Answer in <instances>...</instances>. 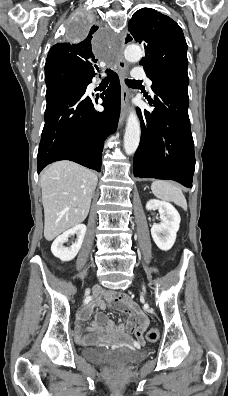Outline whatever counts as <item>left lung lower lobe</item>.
Listing matches in <instances>:
<instances>
[{
	"instance_id": "0a47b994",
	"label": "left lung lower lobe",
	"mask_w": 228,
	"mask_h": 396,
	"mask_svg": "<svg viewBox=\"0 0 228 396\" xmlns=\"http://www.w3.org/2000/svg\"><path fill=\"white\" fill-rule=\"evenodd\" d=\"M147 97L152 113L137 108L141 140L134 155V176L174 180L192 187L195 169L194 142L188 116V89L153 83Z\"/></svg>"
}]
</instances>
